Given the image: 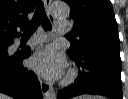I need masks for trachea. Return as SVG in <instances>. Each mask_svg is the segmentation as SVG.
<instances>
[{"instance_id":"trachea-1","label":"trachea","mask_w":128,"mask_h":99,"mask_svg":"<svg viewBox=\"0 0 128 99\" xmlns=\"http://www.w3.org/2000/svg\"><path fill=\"white\" fill-rule=\"evenodd\" d=\"M40 24L46 31H50L52 29L51 23L45 13L44 5L42 2H39L37 4L32 20L22 26V36L30 37L36 31Z\"/></svg>"}]
</instances>
